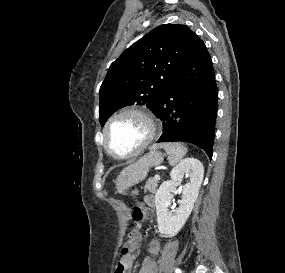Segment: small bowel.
Returning <instances> with one entry per match:
<instances>
[{"label":"small bowel","instance_id":"small-bowel-1","mask_svg":"<svg viewBox=\"0 0 285 273\" xmlns=\"http://www.w3.org/2000/svg\"><path fill=\"white\" fill-rule=\"evenodd\" d=\"M144 203L147 207L146 210L152 209L155 204L153 196L151 195L145 196ZM148 252L150 256L144 258L139 273H158L159 266L157 264L156 258L160 255L161 252V246L159 241L157 240L150 241L148 244Z\"/></svg>","mask_w":285,"mask_h":273}]
</instances>
